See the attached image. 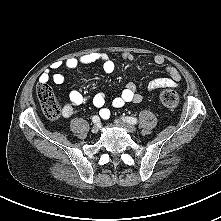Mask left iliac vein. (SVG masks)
<instances>
[{
  "label": "left iliac vein",
  "instance_id": "1",
  "mask_svg": "<svg viewBox=\"0 0 221 221\" xmlns=\"http://www.w3.org/2000/svg\"><path fill=\"white\" fill-rule=\"evenodd\" d=\"M115 124L126 129L127 131L131 132V133H134L136 131V128L132 125H129L121 120H116L115 121Z\"/></svg>",
  "mask_w": 221,
  "mask_h": 221
}]
</instances>
